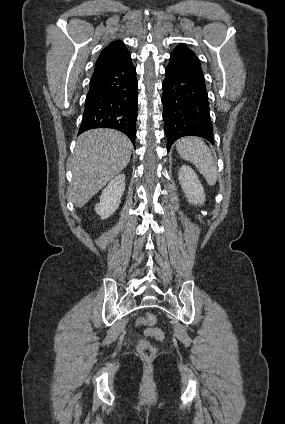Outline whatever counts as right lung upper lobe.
<instances>
[{
    "label": "right lung upper lobe",
    "mask_w": 285,
    "mask_h": 424,
    "mask_svg": "<svg viewBox=\"0 0 285 424\" xmlns=\"http://www.w3.org/2000/svg\"><path fill=\"white\" fill-rule=\"evenodd\" d=\"M131 58L130 53L122 41H113L100 53L96 64L95 71L113 66Z\"/></svg>",
    "instance_id": "obj_1"
}]
</instances>
